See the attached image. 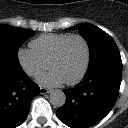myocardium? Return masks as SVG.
Here are the masks:
<instances>
[{"label":"myocardium","instance_id":"myocardium-1","mask_svg":"<svg viewBox=\"0 0 128 128\" xmlns=\"http://www.w3.org/2000/svg\"><path fill=\"white\" fill-rule=\"evenodd\" d=\"M73 39H79L83 42V44L85 46V52H86L85 62H84V66H83L81 72L79 73V75L77 77H75L74 79L69 80V81H64V83L66 85H75V84L79 83L84 78V76L86 75V73L89 69L90 61H91V48H90V44H89L88 40L80 34L70 35L60 44V46L58 47L55 54L52 56V58L48 62V67L50 68V66L54 62H56L57 60H59L62 57L67 44Z\"/></svg>","mask_w":128,"mask_h":128}]
</instances>
